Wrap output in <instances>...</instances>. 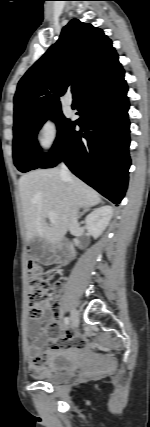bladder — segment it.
<instances>
[{
	"label": "bladder",
	"instance_id": "31cf9c89",
	"mask_svg": "<svg viewBox=\"0 0 150 427\" xmlns=\"http://www.w3.org/2000/svg\"><path fill=\"white\" fill-rule=\"evenodd\" d=\"M47 370L45 381L52 385L69 381L77 372L66 353H59L53 357L47 365Z\"/></svg>",
	"mask_w": 150,
	"mask_h": 427
}]
</instances>
